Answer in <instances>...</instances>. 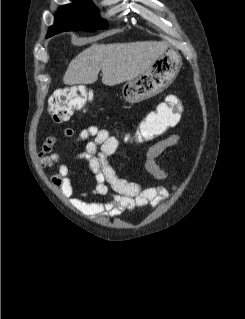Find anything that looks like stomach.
I'll return each mask as SVG.
<instances>
[{"label": "stomach", "instance_id": "0dacf381", "mask_svg": "<svg viewBox=\"0 0 245 319\" xmlns=\"http://www.w3.org/2000/svg\"><path fill=\"white\" fill-rule=\"evenodd\" d=\"M182 66L178 52L166 50L146 71L122 87L123 99L135 104L163 92L175 80Z\"/></svg>", "mask_w": 245, "mask_h": 319}]
</instances>
